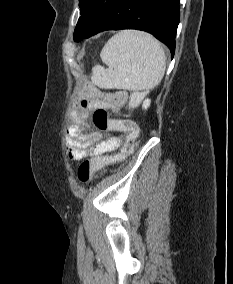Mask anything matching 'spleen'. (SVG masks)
<instances>
[{
	"label": "spleen",
	"instance_id": "3e777b00",
	"mask_svg": "<svg viewBox=\"0 0 233 284\" xmlns=\"http://www.w3.org/2000/svg\"><path fill=\"white\" fill-rule=\"evenodd\" d=\"M100 57L108 68H93L92 81L101 88L147 91L162 80L166 57L161 44L150 34L124 30L103 47Z\"/></svg>",
	"mask_w": 233,
	"mask_h": 284
}]
</instances>
